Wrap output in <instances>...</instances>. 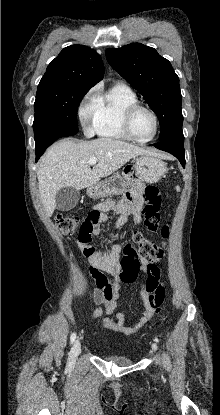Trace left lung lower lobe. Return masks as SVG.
Here are the masks:
<instances>
[{"mask_svg": "<svg viewBox=\"0 0 220 415\" xmlns=\"http://www.w3.org/2000/svg\"><path fill=\"white\" fill-rule=\"evenodd\" d=\"M154 146L174 155L180 161L182 166L185 167L184 137L154 144Z\"/></svg>", "mask_w": 220, "mask_h": 415, "instance_id": "left-lung-lower-lobe-1", "label": "left lung lower lobe"}]
</instances>
